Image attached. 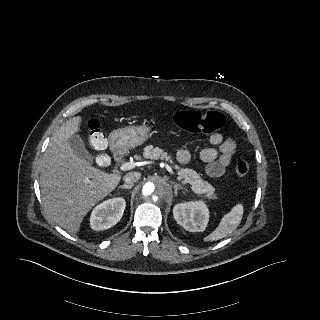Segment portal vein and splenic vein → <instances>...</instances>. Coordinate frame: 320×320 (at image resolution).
Segmentation results:
<instances>
[{
  "label": "portal vein and splenic vein",
  "mask_w": 320,
  "mask_h": 320,
  "mask_svg": "<svg viewBox=\"0 0 320 320\" xmlns=\"http://www.w3.org/2000/svg\"><path fill=\"white\" fill-rule=\"evenodd\" d=\"M135 167V165L131 162H126V163H123L121 166H120V169L123 170V171H126V170H131ZM165 167L166 169L171 173V174H174L172 168L168 165V164H165ZM180 179V177H178Z\"/></svg>",
  "instance_id": "portal-vein-and-splenic-vein-1"
}]
</instances>
